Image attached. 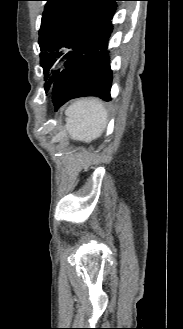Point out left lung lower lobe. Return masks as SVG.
I'll list each match as a JSON object with an SVG mask.
<instances>
[{
    "instance_id": "left-lung-lower-lobe-1",
    "label": "left lung lower lobe",
    "mask_w": 183,
    "mask_h": 329,
    "mask_svg": "<svg viewBox=\"0 0 183 329\" xmlns=\"http://www.w3.org/2000/svg\"><path fill=\"white\" fill-rule=\"evenodd\" d=\"M116 7L90 28L73 55L68 58L65 69L53 81L51 89L55 110L68 100L82 96L111 100L112 70L108 43Z\"/></svg>"
}]
</instances>
